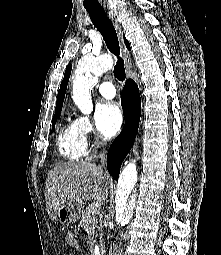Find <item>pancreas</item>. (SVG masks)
I'll use <instances>...</instances> for the list:
<instances>
[{
	"instance_id": "cf45deb5",
	"label": "pancreas",
	"mask_w": 221,
	"mask_h": 255,
	"mask_svg": "<svg viewBox=\"0 0 221 255\" xmlns=\"http://www.w3.org/2000/svg\"><path fill=\"white\" fill-rule=\"evenodd\" d=\"M100 212L94 206V204H90L84 210L80 225L87 231L94 232L95 228L97 227L99 220Z\"/></svg>"
}]
</instances>
